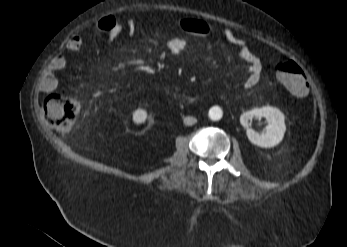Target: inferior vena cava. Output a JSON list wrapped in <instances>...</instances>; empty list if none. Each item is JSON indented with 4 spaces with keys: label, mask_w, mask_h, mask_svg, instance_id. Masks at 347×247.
Here are the masks:
<instances>
[{
    "label": "inferior vena cava",
    "mask_w": 347,
    "mask_h": 247,
    "mask_svg": "<svg viewBox=\"0 0 347 247\" xmlns=\"http://www.w3.org/2000/svg\"><path fill=\"white\" fill-rule=\"evenodd\" d=\"M197 122V119L195 118V117H190V116H188V117H185L184 118V124L185 125H193V124H195Z\"/></svg>",
    "instance_id": "inferior-vena-cava-1"
}]
</instances>
